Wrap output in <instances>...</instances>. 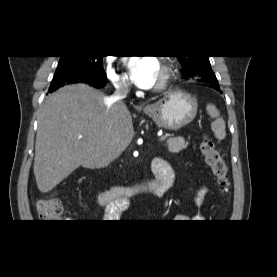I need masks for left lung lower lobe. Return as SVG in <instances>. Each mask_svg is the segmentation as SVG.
<instances>
[{
  "label": "left lung lower lobe",
  "instance_id": "1",
  "mask_svg": "<svg viewBox=\"0 0 277 277\" xmlns=\"http://www.w3.org/2000/svg\"><path fill=\"white\" fill-rule=\"evenodd\" d=\"M199 81L202 82H206L208 84H210V87L214 88L215 90L219 91L220 93H222V91L220 90L219 84L217 82V79H213V78H206V79H201Z\"/></svg>",
  "mask_w": 277,
  "mask_h": 277
}]
</instances>
